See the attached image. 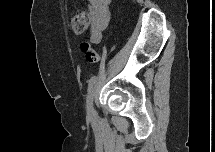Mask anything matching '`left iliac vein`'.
Listing matches in <instances>:
<instances>
[{
    "mask_svg": "<svg viewBox=\"0 0 215 152\" xmlns=\"http://www.w3.org/2000/svg\"><path fill=\"white\" fill-rule=\"evenodd\" d=\"M93 95H94V90L90 92L87 99V114L90 119H95L97 117V113L93 105Z\"/></svg>",
    "mask_w": 215,
    "mask_h": 152,
    "instance_id": "4c4485c4",
    "label": "left iliac vein"
}]
</instances>
